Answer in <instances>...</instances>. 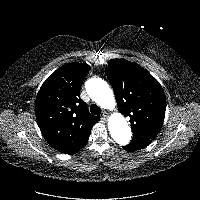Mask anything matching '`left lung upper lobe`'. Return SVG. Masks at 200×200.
<instances>
[{"label":"left lung upper lobe","mask_w":200,"mask_h":200,"mask_svg":"<svg viewBox=\"0 0 200 200\" xmlns=\"http://www.w3.org/2000/svg\"><path fill=\"white\" fill-rule=\"evenodd\" d=\"M106 75L113 87L118 110L130 117L133 150L143 149L157 136L163 124L166 98L159 82L137 63L111 59Z\"/></svg>","instance_id":"obj_1"}]
</instances>
